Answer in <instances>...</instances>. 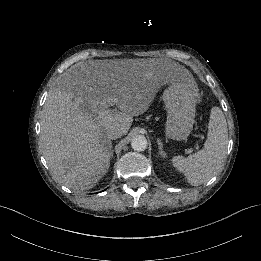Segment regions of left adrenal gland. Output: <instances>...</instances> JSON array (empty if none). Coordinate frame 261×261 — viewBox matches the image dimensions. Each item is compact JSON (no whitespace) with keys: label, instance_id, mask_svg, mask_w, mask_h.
<instances>
[{"label":"left adrenal gland","instance_id":"obj_1","mask_svg":"<svg viewBox=\"0 0 261 261\" xmlns=\"http://www.w3.org/2000/svg\"><path fill=\"white\" fill-rule=\"evenodd\" d=\"M157 143H158V149H159V154L161 155V158H162V159L167 158V156H166V155L164 154V152H163V148H162V143H161V141L158 140Z\"/></svg>","mask_w":261,"mask_h":261}]
</instances>
